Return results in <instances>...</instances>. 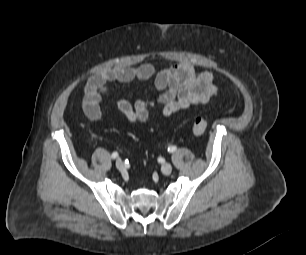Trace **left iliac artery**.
<instances>
[{
	"instance_id": "left-iliac-artery-1",
	"label": "left iliac artery",
	"mask_w": 306,
	"mask_h": 255,
	"mask_svg": "<svg viewBox=\"0 0 306 255\" xmlns=\"http://www.w3.org/2000/svg\"><path fill=\"white\" fill-rule=\"evenodd\" d=\"M176 149H177L176 146H170V147H168V152H170V153L175 152Z\"/></svg>"
}]
</instances>
